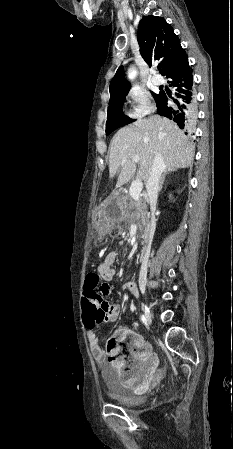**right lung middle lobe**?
I'll return each instance as SVG.
<instances>
[{"label":"right lung middle lobe","instance_id":"dd1d6c3e","mask_svg":"<svg viewBox=\"0 0 233 449\" xmlns=\"http://www.w3.org/2000/svg\"><path fill=\"white\" fill-rule=\"evenodd\" d=\"M128 93V92H127ZM127 93H122L110 98L109 108H108V117L106 122V134L109 135L116 128L127 125L134 120L127 117L122 112L123 103ZM155 101L160 97L159 94L152 93Z\"/></svg>","mask_w":233,"mask_h":449}]
</instances>
